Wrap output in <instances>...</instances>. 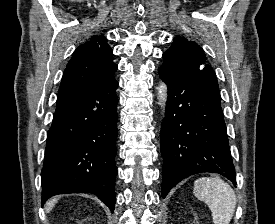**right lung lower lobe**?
<instances>
[{
    "instance_id": "right-lung-lower-lobe-1",
    "label": "right lung lower lobe",
    "mask_w": 275,
    "mask_h": 224,
    "mask_svg": "<svg viewBox=\"0 0 275 224\" xmlns=\"http://www.w3.org/2000/svg\"><path fill=\"white\" fill-rule=\"evenodd\" d=\"M116 80L59 97L47 142L42 204L63 193H92L113 212L118 115Z\"/></svg>"
}]
</instances>
